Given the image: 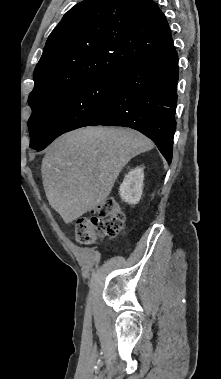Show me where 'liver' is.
I'll return each instance as SVG.
<instances>
[{"mask_svg":"<svg viewBox=\"0 0 221 379\" xmlns=\"http://www.w3.org/2000/svg\"><path fill=\"white\" fill-rule=\"evenodd\" d=\"M153 147L129 128L87 127L60 136L42 160L49 204L71 223L103 203L129 160Z\"/></svg>","mask_w":221,"mask_h":379,"instance_id":"6515ba94","label":"liver"}]
</instances>
